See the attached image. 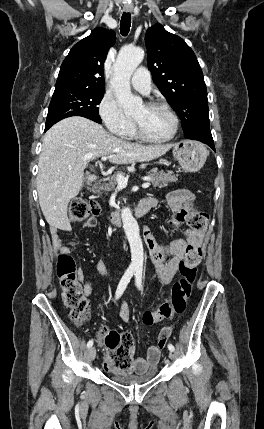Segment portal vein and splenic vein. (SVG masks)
Here are the masks:
<instances>
[{
	"label": "portal vein and splenic vein",
	"mask_w": 264,
	"mask_h": 429,
	"mask_svg": "<svg viewBox=\"0 0 264 429\" xmlns=\"http://www.w3.org/2000/svg\"><path fill=\"white\" fill-rule=\"evenodd\" d=\"M108 158L109 157H107V156H103L101 159L105 161ZM116 180H117V183H118L119 187L124 188V187L127 186V183H128V178L127 177H125L123 175H117ZM149 186H150V182H145V183L142 184L143 188H148Z\"/></svg>",
	"instance_id": "obj_1"
}]
</instances>
